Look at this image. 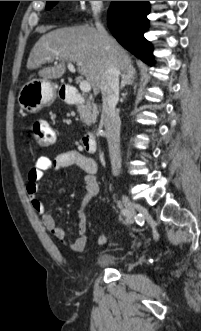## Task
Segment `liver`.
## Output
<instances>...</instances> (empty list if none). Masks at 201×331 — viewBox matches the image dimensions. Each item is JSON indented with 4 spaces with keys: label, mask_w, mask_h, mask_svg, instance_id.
<instances>
[{
    "label": "liver",
    "mask_w": 201,
    "mask_h": 331,
    "mask_svg": "<svg viewBox=\"0 0 201 331\" xmlns=\"http://www.w3.org/2000/svg\"><path fill=\"white\" fill-rule=\"evenodd\" d=\"M67 61L76 63L95 95L105 82L109 64H115L124 73H135L124 48L107 33L89 26L60 28L41 36L30 52L27 68L34 70L54 62V66L43 68L38 74L45 80L57 79L65 73Z\"/></svg>",
    "instance_id": "obj_1"
}]
</instances>
